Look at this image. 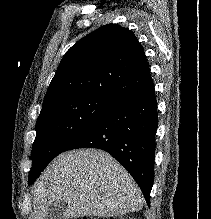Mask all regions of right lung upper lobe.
I'll list each match as a JSON object with an SVG mask.
<instances>
[{"label": "right lung upper lobe", "mask_w": 211, "mask_h": 219, "mask_svg": "<svg viewBox=\"0 0 211 219\" xmlns=\"http://www.w3.org/2000/svg\"><path fill=\"white\" fill-rule=\"evenodd\" d=\"M152 83L144 50L127 28L109 24L86 35L61 60L42 111L74 98L118 103Z\"/></svg>", "instance_id": "1"}]
</instances>
